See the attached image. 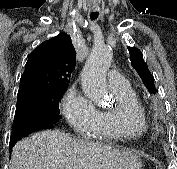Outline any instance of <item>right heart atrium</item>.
Here are the masks:
<instances>
[{"label":"right heart atrium","mask_w":177,"mask_h":169,"mask_svg":"<svg viewBox=\"0 0 177 169\" xmlns=\"http://www.w3.org/2000/svg\"><path fill=\"white\" fill-rule=\"evenodd\" d=\"M63 114L72 128L79 134H89L98 121V109L94 103L76 88L66 93L62 103Z\"/></svg>","instance_id":"obj_1"}]
</instances>
